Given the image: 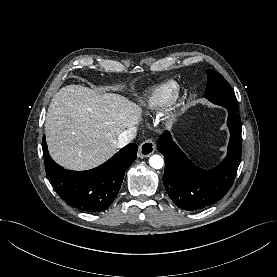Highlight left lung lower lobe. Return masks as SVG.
<instances>
[{
	"label": "left lung lower lobe",
	"mask_w": 277,
	"mask_h": 277,
	"mask_svg": "<svg viewBox=\"0 0 277 277\" xmlns=\"http://www.w3.org/2000/svg\"><path fill=\"white\" fill-rule=\"evenodd\" d=\"M228 110L230 141L226 158L214 169H202L189 160L164 132L157 148L165 157L163 184L172 201L182 210L197 211L221 199L231 188L241 160V119L237 111Z\"/></svg>",
	"instance_id": "left-lung-lower-lobe-1"
}]
</instances>
